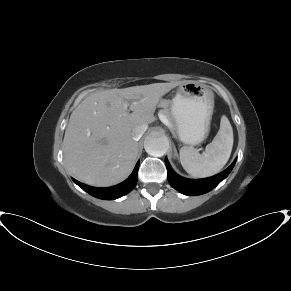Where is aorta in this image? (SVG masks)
Returning <instances> with one entry per match:
<instances>
[{
    "mask_svg": "<svg viewBox=\"0 0 291 291\" xmlns=\"http://www.w3.org/2000/svg\"><path fill=\"white\" fill-rule=\"evenodd\" d=\"M144 148L152 156H162L169 148V140L166 136L152 134L145 139Z\"/></svg>",
    "mask_w": 291,
    "mask_h": 291,
    "instance_id": "aorta-1",
    "label": "aorta"
}]
</instances>
